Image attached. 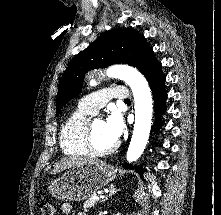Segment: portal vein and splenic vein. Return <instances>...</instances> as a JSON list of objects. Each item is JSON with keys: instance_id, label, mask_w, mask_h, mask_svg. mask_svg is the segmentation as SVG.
I'll list each match as a JSON object with an SVG mask.
<instances>
[{"instance_id": "obj_1", "label": "portal vein and splenic vein", "mask_w": 221, "mask_h": 215, "mask_svg": "<svg viewBox=\"0 0 221 215\" xmlns=\"http://www.w3.org/2000/svg\"><path fill=\"white\" fill-rule=\"evenodd\" d=\"M100 198H101V197H99V196H94V197H93V199L96 200V201L100 200Z\"/></svg>"}]
</instances>
